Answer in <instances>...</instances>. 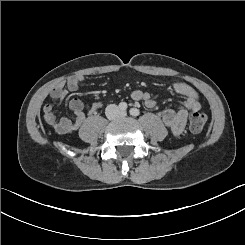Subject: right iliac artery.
Listing matches in <instances>:
<instances>
[{
	"label": "right iliac artery",
	"instance_id": "1",
	"mask_svg": "<svg viewBox=\"0 0 245 245\" xmlns=\"http://www.w3.org/2000/svg\"><path fill=\"white\" fill-rule=\"evenodd\" d=\"M127 103H125V102H121L120 104H119V109L121 110V111H126L127 110Z\"/></svg>",
	"mask_w": 245,
	"mask_h": 245
}]
</instances>
